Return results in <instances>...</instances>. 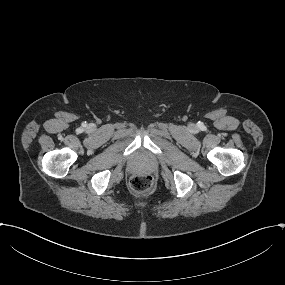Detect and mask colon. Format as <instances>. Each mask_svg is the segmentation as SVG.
<instances>
[{
    "label": "colon",
    "mask_w": 285,
    "mask_h": 285,
    "mask_svg": "<svg viewBox=\"0 0 285 285\" xmlns=\"http://www.w3.org/2000/svg\"><path fill=\"white\" fill-rule=\"evenodd\" d=\"M129 184L133 191L138 193H147L154 187V178L150 174L139 173L131 177Z\"/></svg>",
    "instance_id": "colon-1"
}]
</instances>
